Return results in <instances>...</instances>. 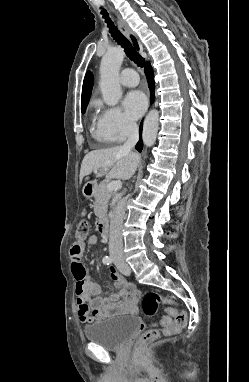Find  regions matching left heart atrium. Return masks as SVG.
Wrapping results in <instances>:
<instances>
[{"label": "left heart atrium", "instance_id": "obj_1", "mask_svg": "<svg viewBox=\"0 0 249 382\" xmlns=\"http://www.w3.org/2000/svg\"><path fill=\"white\" fill-rule=\"evenodd\" d=\"M123 107L130 118L137 119L147 107V98L140 90L130 91L123 100Z\"/></svg>", "mask_w": 249, "mask_h": 382}]
</instances>
